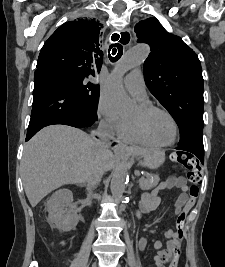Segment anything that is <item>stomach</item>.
Wrapping results in <instances>:
<instances>
[{"mask_svg": "<svg viewBox=\"0 0 225 267\" xmlns=\"http://www.w3.org/2000/svg\"><path fill=\"white\" fill-rule=\"evenodd\" d=\"M145 164L151 168L159 167L165 160L164 153H148L144 156Z\"/></svg>", "mask_w": 225, "mask_h": 267, "instance_id": "1", "label": "stomach"}]
</instances>
